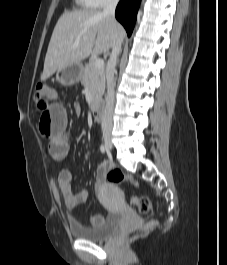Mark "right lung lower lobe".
<instances>
[{
	"label": "right lung lower lobe",
	"instance_id": "right-lung-lower-lobe-1",
	"mask_svg": "<svg viewBox=\"0 0 227 265\" xmlns=\"http://www.w3.org/2000/svg\"><path fill=\"white\" fill-rule=\"evenodd\" d=\"M140 0H121L116 8V18L131 35L139 8Z\"/></svg>",
	"mask_w": 227,
	"mask_h": 265
}]
</instances>
